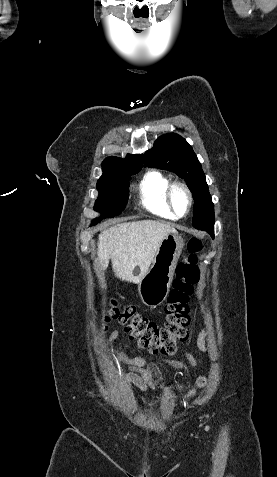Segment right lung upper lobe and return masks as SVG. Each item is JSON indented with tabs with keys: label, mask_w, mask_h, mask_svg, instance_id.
I'll return each mask as SVG.
<instances>
[{
	"label": "right lung upper lobe",
	"mask_w": 277,
	"mask_h": 477,
	"mask_svg": "<svg viewBox=\"0 0 277 477\" xmlns=\"http://www.w3.org/2000/svg\"><path fill=\"white\" fill-rule=\"evenodd\" d=\"M143 164L142 155L127 154L125 159L118 157H107L102 162V171H109L114 169H141Z\"/></svg>",
	"instance_id": "obj_1"
}]
</instances>
